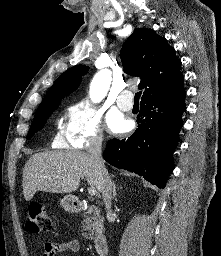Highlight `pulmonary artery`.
Segmentation results:
<instances>
[{
	"label": "pulmonary artery",
	"instance_id": "pulmonary-artery-1",
	"mask_svg": "<svg viewBox=\"0 0 221 256\" xmlns=\"http://www.w3.org/2000/svg\"><path fill=\"white\" fill-rule=\"evenodd\" d=\"M117 105L123 111H129L133 107V94L129 90L120 93L117 98Z\"/></svg>",
	"mask_w": 221,
	"mask_h": 256
}]
</instances>
